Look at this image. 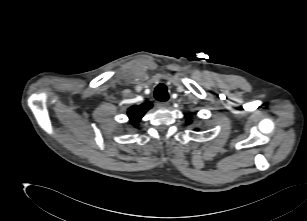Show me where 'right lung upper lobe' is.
<instances>
[{"label":"right lung upper lobe","instance_id":"right-lung-upper-lobe-1","mask_svg":"<svg viewBox=\"0 0 307 221\" xmlns=\"http://www.w3.org/2000/svg\"><path fill=\"white\" fill-rule=\"evenodd\" d=\"M151 107H152V104L149 102L143 103L139 106H131L127 112L130 122L134 126H137L140 119Z\"/></svg>","mask_w":307,"mask_h":221}]
</instances>
